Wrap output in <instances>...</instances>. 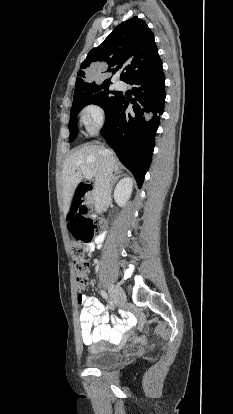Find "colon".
I'll list each match as a JSON object with an SVG mask.
<instances>
[{"label":"colon","instance_id":"obj_1","mask_svg":"<svg viewBox=\"0 0 233 414\" xmlns=\"http://www.w3.org/2000/svg\"><path fill=\"white\" fill-rule=\"evenodd\" d=\"M69 230L76 238L72 244L71 256L76 270V286L78 294L84 291L88 285L89 262L85 258L86 245L93 240V237L102 228L99 221L86 216V210L71 212L69 215ZM81 298L78 295V301Z\"/></svg>","mask_w":233,"mask_h":414}]
</instances>
